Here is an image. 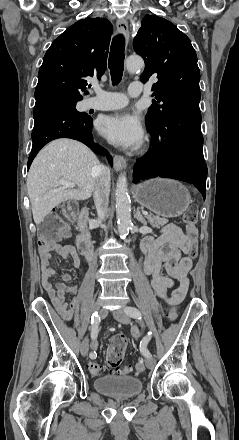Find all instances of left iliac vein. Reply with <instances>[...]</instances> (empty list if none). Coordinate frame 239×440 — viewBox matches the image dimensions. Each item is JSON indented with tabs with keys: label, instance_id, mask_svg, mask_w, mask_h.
<instances>
[{
	"label": "left iliac vein",
	"instance_id": "obj_1",
	"mask_svg": "<svg viewBox=\"0 0 239 440\" xmlns=\"http://www.w3.org/2000/svg\"><path fill=\"white\" fill-rule=\"evenodd\" d=\"M113 316L117 321L123 324H129L130 322V318L128 314H126V312H124L122 309L114 311ZM155 364H156V360L152 356L146 359V366L149 369H153L155 367Z\"/></svg>",
	"mask_w": 239,
	"mask_h": 440
}]
</instances>
